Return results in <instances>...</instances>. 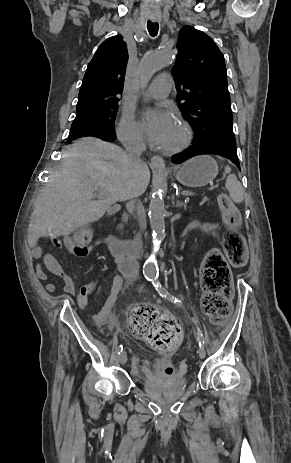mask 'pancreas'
Listing matches in <instances>:
<instances>
[{
    "label": "pancreas",
    "mask_w": 291,
    "mask_h": 463,
    "mask_svg": "<svg viewBox=\"0 0 291 463\" xmlns=\"http://www.w3.org/2000/svg\"><path fill=\"white\" fill-rule=\"evenodd\" d=\"M122 219H123V221L127 222V220H128V215H127V214H124V215L122 216Z\"/></svg>",
    "instance_id": "pancreas-1"
}]
</instances>
